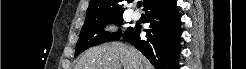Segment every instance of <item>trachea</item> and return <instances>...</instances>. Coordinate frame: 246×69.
Wrapping results in <instances>:
<instances>
[{
	"instance_id": "1",
	"label": "trachea",
	"mask_w": 246,
	"mask_h": 69,
	"mask_svg": "<svg viewBox=\"0 0 246 69\" xmlns=\"http://www.w3.org/2000/svg\"><path fill=\"white\" fill-rule=\"evenodd\" d=\"M137 6L141 7L142 6V2H138Z\"/></svg>"
}]
</instances>
